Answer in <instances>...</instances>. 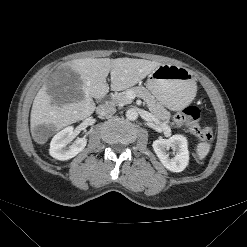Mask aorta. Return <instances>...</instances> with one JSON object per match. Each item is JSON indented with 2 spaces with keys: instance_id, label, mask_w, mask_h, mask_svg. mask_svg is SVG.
<instances>
[{
  "instance_id": "762f6f07",
  "label": "aorta",
  "mask_w": 247,
  "mask_h": 247,
  "mask_svg": "<svg viewBox=\"0 0 247 247\" xmlns=\"http://www.w3.org/2000/svg\"><path fill=\"white\" fill-rule=\"evenodd\" d=\"M126 118L128 120L134 121L138 118V112L134 108H130L126 111Z\"/></svg>"
}]
</instances>
